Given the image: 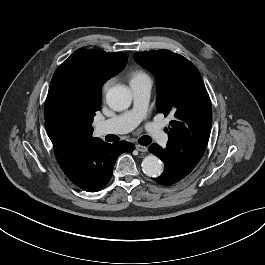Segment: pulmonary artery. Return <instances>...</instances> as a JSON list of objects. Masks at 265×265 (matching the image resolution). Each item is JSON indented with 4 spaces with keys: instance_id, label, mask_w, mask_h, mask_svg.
<instances>
[{
    "instance_id": "pulmonary-artery-1",
    "label": "pulmonary artery",
    "mask_w": 265,
    "mask_h": 265,
    "mask_svg": "<svg viewBox=\"0 0 265 265\" xmlns=\"http://www.w3.org/2000/svg\"><path fill=\"white\" fill-rule=\"evenodd\" d=\"M133 94V106L131 109L116 115L112 118L101 121L97 125L99 134L113 133L123 134L133 130L140 122L146 118L147 106L151 94L152 81L147 76L140 80L130 82ZM144 128L150 138L160 145H165L168 141L167 134L156 123L148 121Z\"/></svg>"
}]
</instances>
